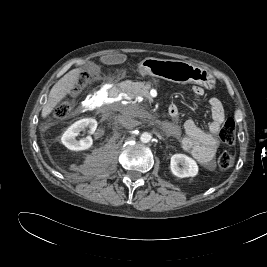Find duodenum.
I'll list each match as a JSON object with an SVG mask.
<instances>
[{"label": "duodenum", "instance_id": "1", "mask_svg": "<svg viewBox=\"0 0 267 267\" xmlns=\"http://www.w3.org/2000/svg\"><path fill=\"white\" fill-rule=\"evenodd\" d=\"M128 90H129L128 83L125 81H120L117 83L116 86L113 87L112 94L116 98H121L124 96L125 93L128 92ZM168 113L172 118H175L177 116V111L172 106L169 107Z\"/></svg>", "mask_w": 267, "mask_h": 267}]
</instances>
